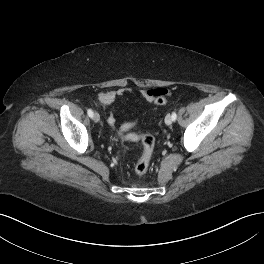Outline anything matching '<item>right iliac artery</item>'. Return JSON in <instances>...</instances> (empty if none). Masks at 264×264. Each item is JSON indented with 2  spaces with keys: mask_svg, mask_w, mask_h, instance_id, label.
Returning <instances> with one entry per match:
<instances>
[{
  "mask_svg": "<svg viewBox=\"0 0 264 264\" xmlns=\"http://www.w3.org/2000/svg\"><path fill=\"white\" fill-rule=\"evenodd\" d=\"M87 114L89 117H91V118L93 117V111L91 109L87 110Z\"/></svg>",
  "mask_w": 264,
  "mask_h": 264,
  "instance_id": "right-iliac-artery-1",
  "label": "right iliac artery"
}]
</instances>
